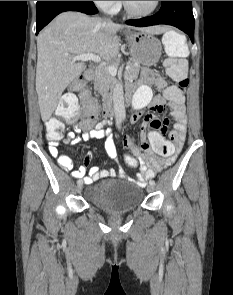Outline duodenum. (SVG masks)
Wrapping results in <instances>:
<instances>
[{"instance_id":"1","label":"duodenum","mask_w":233,"mask_h":295,"mask_svg":"<svg viewBox=\"0 0 233 295\" xmlns=\"http://www.w3.org/2000/svg\"><path fill=\"white\" fill-rule=\"evenodd\" d=\"M96 76V70L95 69H88L85 73V77L88 80H92ZM132 94V88H128L126 92V98L130 99ZM103 114L106 117H109L113 114V106L112 102L107 99L103 103Z\"/></svg>"}]
</instances>
